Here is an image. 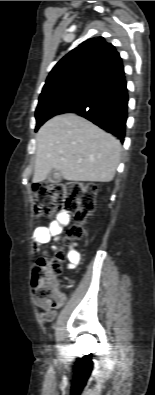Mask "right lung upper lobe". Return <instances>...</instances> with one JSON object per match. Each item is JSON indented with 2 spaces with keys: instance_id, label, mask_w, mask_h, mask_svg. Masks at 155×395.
Returning a JSON list of instances; mask_svg holds the SVG:
<instances>
[{
  "instance_id": "cb5924a9",
  "label": "right lung upper lobe",
  "mask_w": 155,
  "mask_h": 395,
  "mask_svg": "<svg viewBox=\"0 0 155 395\" xmlns=\"http://www.w3.org/2000/svg\"><path fill=\"white\" fill-rule=\"evenodd\" d=\"M124 72L119 53L103 37L84 41L51 70L43 88L71 81L103 85Z\"/></svg>"
}]
</instances>
